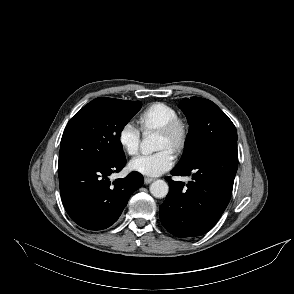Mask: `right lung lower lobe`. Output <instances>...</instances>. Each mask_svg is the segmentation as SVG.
Listing matches in <instances>:
<instances>
[{
	"mask_svg": "<svg viewBox=\"0 0 294 294\" xmlns=\"http://www.w3.org/2000/svg\"><path fill=\"white\" fill-rule=\"evenodd\" d=\"M125 164L121 158L59 170L61 199L76 224L102 230L117 221L131 194L143 184V176L136 171L111 184L108 176L121 171Z\"/></svg>",
	"mask_w": 294,
	"mask_h": 294,
	"instance_id": "obj_1",
	"label": "right lung lower lobe"
}]
</instances>
